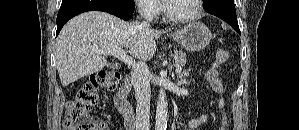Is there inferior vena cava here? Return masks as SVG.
<instances>
[{
	"instance_id": "602c4592",
	"label": "inferior vena cava",
	"mask_w": 299,
	"mask_h": 130,
	"mask_svg": "<svg viewBox=\"0 0 299 130\" xmlns=\"http://www.w3.org/2000/svg\"><path fill=\"white\" fill-rule=\"evenodd\" d=\"M139 26L149 28L150 23L148 21H142L139 23ZM131 76L137 101L136 130H149L151 88L149 83L150 73L147 64L143 61L138 62L132 67Z\"/></svg>"
}]
</instances>
